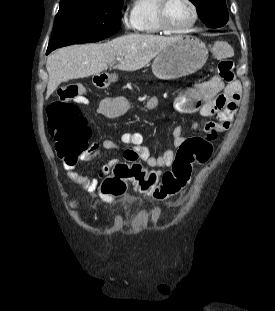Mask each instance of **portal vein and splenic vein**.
<instances>
[{"mask_svg": "<svg viewBox=\"0 0 275 311\" xmlns=\"http://www.w3.org/2000/svg\"><path fill=\"white\" fill-rule=\"evenodd\" d=\"M116 60H117V61H122V60H123V58H117Z\"/></svg>", "mask_w": 275, "mask_h": 311, "instance_id": "18ae733b", "label": "portal vein and splenic vein"}]
</instances>
